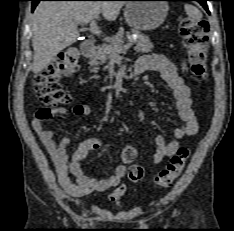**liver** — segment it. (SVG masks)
<instances>
[{"label":"liver","mask_w":234,"mask_h":231,"mask_svg":"<svg viewBox=\"0 0 234 231\" xmlns=\"http://www.w3.org/2000/svg\"><path fill=\"white\" fill-rule=\"evenodd\" d=\"M124 1H42L32 16V70L41 72L78 37V24L99 18L116 20Z\"/></svg>","instance_id":"6515ba94"}]
</instances>
